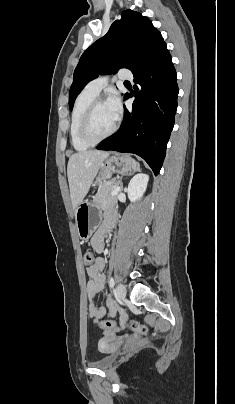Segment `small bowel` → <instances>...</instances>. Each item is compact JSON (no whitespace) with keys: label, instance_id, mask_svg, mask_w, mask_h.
Listing matches in <instances>:
<instances>
[{"label":"small bowel","instance_id":"obj_1","mask_svg":"<svg viewBox=\"0 0 235 404\" xmlns=\"http://www.w3.org/2000/svg\"><path fill=\"white\" fill-rule=\"evenodd\" d=\"M113 224L114 219L108 218L92 237L91 246L96 252L103 251L105 233ZM104 268L105 261L102 258H96L92 265L86 267V272L90 278L87 283L88 312L90 318H92L95 323L113 317L117 311L116 304L110 298L107 300L109 306L108 311L102 306H97L94 302V297L100 293L105 286L106 279L103 274Z\"/></svg>","mask_w":235,"mask_h":404}]
</instances>
